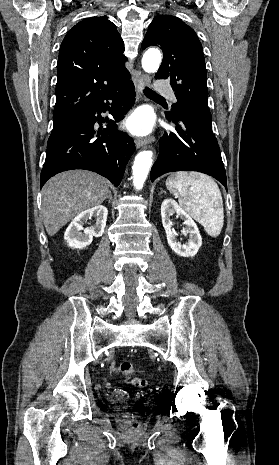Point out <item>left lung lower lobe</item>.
I'll list each match as a JSON object with an SVG mask.
<instances>
[{
	"label": "left lung lower lobe",
	"instance_id": "1",
	"mask_svg": "<svg viewBox=\"0 0 279 465\" xmlns=\"http://www.w3.org/2000/svg\"><path fill=\"white\" fill-rule=\"evenodd\" d=\"M167 119L176 125V132H165L160 138L151 181L168 172L198 171L211 175L226 187V172L212 129L190 117Z\"/></svg>",
	"mask_w": 279,
	"mask_h": 465
}]
</instances>
